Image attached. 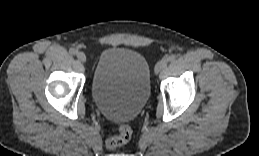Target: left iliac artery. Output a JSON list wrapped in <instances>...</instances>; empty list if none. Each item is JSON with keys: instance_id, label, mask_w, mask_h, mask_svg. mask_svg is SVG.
I'll use <instances>...</instances> for the list:
<instances>
[{"instance_id": "left-iliac-artery-1", "label": "left iliac artery", "mask_w": 259, "mask_h": 156, "mask_svg": "<svg viewBox=\"0 0 259 156\" xmlns=\"http://www.w3.org/2000/svg\"><path fill=\"white\" fill-rule=\"evenodd\" d=\"M166 59H167V61L172 62V61H174L176 59V56L175 55H170Z\"/></svg>"}]
</instances>
